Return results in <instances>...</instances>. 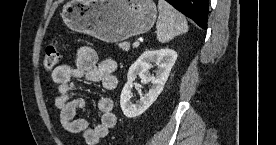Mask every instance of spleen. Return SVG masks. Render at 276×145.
<instances>
[{
	"label": "spleen",
	"mask_w": 276,
	"mask_h": 145,
	"mask_svg": "<svg viewBox=\"0 0 276 145\" xmlns=\"http://www.w3.org/2000/svg\"><path fill=\"white\" fill-rule=\"evenodd\" d=\"M159 16L156 23L157 39L168 42L175 36L186 33L188 25L185 17L165 0L158 1Z\"/></svg>",
	"instance_id": "spleen-1"
}]
</instances>
